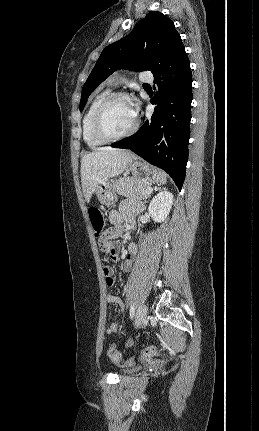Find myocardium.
<instances>
[{
  "mask_svg": "<svg viewBox=\"0 0 259 431\" xmlns=\"http://www.w3.org/2000/svg\"><path fill=\"white\" fill-rule=\"evenodd\" d=\"M120 99H128L129 95L125 92H116L111 93L107 97H105L102 102L98 105L97 109L94 112L93 118H92V131L96 138L99 140H102L104 142H112L117 141L121 139H125L127 137L132 136L135 134L139 128L140 121L139 118L136 115L135 122L133 126L126 132L118 135L109 134L104 126V118L107 110L109 107L117 100Z\"/></svg>",
  "mask_w": 259,
  "mask_h": 431,
  "instance_id": "myocardium-1",
  "label": "myocardium"
}]
</instances>
